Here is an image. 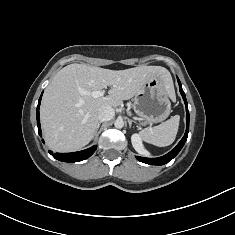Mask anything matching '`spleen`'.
Masks as SVG:
<instances>
[{"label":"spleen","mask_w":235,"mask_h":235,"mask_svg":"<svg viewBox=\"0 0 235 235\" xmlns=\"http://www.w3.org/2000/svg\"><path fill=\"white\" fill-rule=\"evenodd\" d=\"M179 120V115H175L158 126L143 129L140 135L147 143L158 147L169 146L176 138Z\"/></svg>","instance_id":"3e777b00"}]
</instances>
